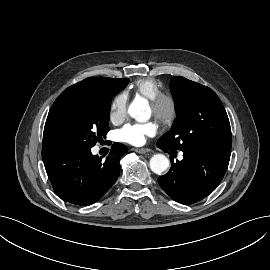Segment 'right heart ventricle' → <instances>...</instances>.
Returning <instances> with one entry per match:
<instances>
[{"label":"right heart ventricle","mask_w":270,"mask_h":270,"mask_svg":"<svg viewBox=\"0 0 270 270\" xmlns=\"http://www.w3.org/2000/svg\"><path fill=\"white\" fill-rule=\"evenodd\" d=\"M132 90L148 99L154 98L162 92L161 84L154 78H140L131 85Z\"/></svg>","instance_id":"1"}]
</instances>
